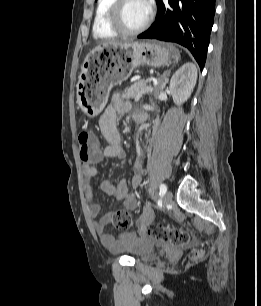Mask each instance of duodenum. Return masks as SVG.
I'll return each instance as SVG.
<instances>
[{"mask_svg":"<svg viewBox=\"0 0 261 306\" xmlns=\"http://www.w3.org/2000/svg\"><path fill=\"white\" fill-rule=\"evenodd\" d=\"M146 120V115L145 114H140L137 118H136V121L139 123V124H142L143 122H145Z\"/></svg>","mask_w":261,"mask_h":306,"instance_id":"duodenum-1","label":"duodenum"}]
</instances>
